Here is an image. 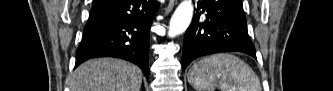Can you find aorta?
<instances>
[{
  "label": "aorta",
  "instance_id": "obj_1",
  "mask_svg": "<svg viewBox=\"0 0 333 91\" xmlns=\"http://www.w3.org/2000/svg\"><path fill=\"white\" fill-rule=\"evenodd\" d=\"M193 16V4L191 0H183L175 10L169 24L168 36L175 37L186 31Z\"/></svg>",
  "mask_w": 333,
  "mask_h": 91
}]
</instances>
